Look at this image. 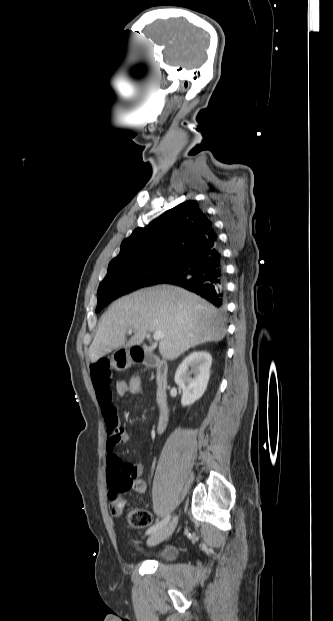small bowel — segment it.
<instances>
[{"label":"small bowel","instance_id":"c3829d8e","mask_svg":"<svg viewBox=\"0 0 333 621\" xmlns=\"http://www.w3.org/2000/svg\"><path fill=\"white\" fill-rule=\"evenodd\" d=\"M91 378L97 400L102 410L103 419L106 424L107 470L111 467L112 463L121 464L123 467L129 468L133 479L132 489L135 492L143 493L146 489V484L143 480L139 479V476L143 470L142 464L123 463L115 451L117 445L128 441L129 435L120 424L118 412L113 402V391L111 389L112 376L110 371V361L108 358L100 357L93 363L91 367ZM115 392L117 395L126 394L125 381H118L116 383ZM109 499L110 503L116 500L124 502L120 495L114 491L110 493Z\"/></svg>","mask_w":333,"mask_h":621}]
</instances>
